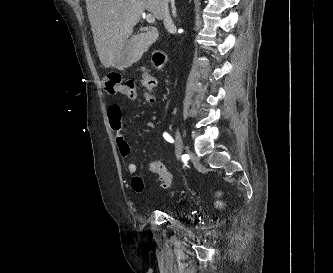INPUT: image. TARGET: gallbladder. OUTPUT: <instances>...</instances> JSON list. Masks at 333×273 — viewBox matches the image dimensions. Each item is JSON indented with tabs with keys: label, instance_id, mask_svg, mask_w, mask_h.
Wrapping results in <instances>:
<instances>
[{
	"label": "gallbladder",
	"instance_id": "1",
	"mask_svg": "<svg viewBox=\"0 0 333 273\" xmlns=\"http://www.w3.org/2000/svg\"><path fill=\"white\" fill-rule=\"evenodd\" d=\"M145 40V34L131 37L121 52L120 57L115 61L114 67L123 70L131 67L133 63L138 62L149 47V43H146Z\"/></svg>",
	"mask_w": 333,
	"mask_h": 273
}]
</instances>
